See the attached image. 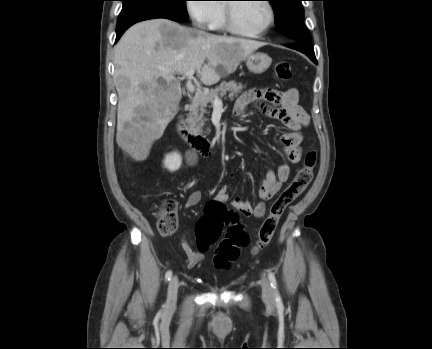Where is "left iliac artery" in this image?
<instances>
[{
	"label": "left iliac artery",
	"instance_id": "left-iliac-artery-1",
	"mask_svg": "<svg viewBox=\"0 0 432 349\" xmlns=\"http://www.w3.org/2000/svg\"><path fill=\"white\" fill-rule=\"evenodd\" d=\"M268 278H269V281H270V284H271L272 288L275 291V300H276L277 306L278 307H283L282 299H281V296H280V294L278 292L277 281H276L275 275L272 272L269 271L268 272Z\"/></svg>",
	"mask_w": 432,
	"mask_h": 349
}]
</instances>
